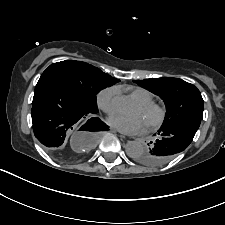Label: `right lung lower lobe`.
<instances>
[{"label": "right lung lower lobe", "mask_w": 225, "mask_h": 225, "mask_svg": "<svg viewBox=\"0 0 225 225\" xmlns=\"http://www.w3.org/2000/svg\"><path fill=\"white\" fill-rule=\"evenodd\" d=\"M64 87L51 80H39L32 102V124L35 137L47 148L60 147L67 134L81 118L95 114ZM93 121L92 131L108 130L98 118Z\"/></svg>", "instance_id": "1"}]
</instances>
